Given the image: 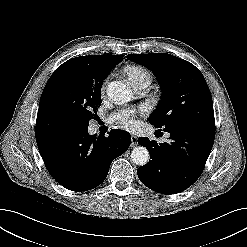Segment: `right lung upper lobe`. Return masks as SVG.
<instances>
[{
    "instance_id": "obj_1",
    "label": "right lung upper lobe",
    "mask_w": 247,
    "mask_h": 247,
    "mask_svg": "<svg viewBox=\"0 0 247 247\" xmlns=\"http://www.w3.org/2000/svg\"><path fill=\"white\" fill-rule=\"evenodd\" d=\"M79 58L105 76L123 60L120 55L81 56Z\"/></svg>"
}]
</instances>
